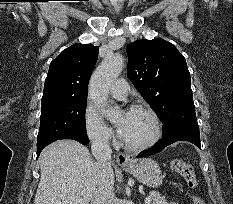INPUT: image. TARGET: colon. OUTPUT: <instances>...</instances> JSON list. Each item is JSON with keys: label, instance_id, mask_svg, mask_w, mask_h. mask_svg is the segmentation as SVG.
Segmentation results:
<instances>
[{"label": "colon", "instance_id": "obj_1", "mask_svg": "<svg viewBox=\"0 0 233 204\" xmlns=\"http://www.w3.org/2000/svg\"><path fill=\"white\" fill-rule=\"evenodd\" d=\"M171 168L173 171L181 175L188 185L191 188H195L197 186V180L195 177L194 169L191 165L187 164L182 160H173L171 162ZM193 204H205L202 199L199 197H193Z\"/></svg>", "mask_w": 233, "mask_h": 204}]
</instances>
